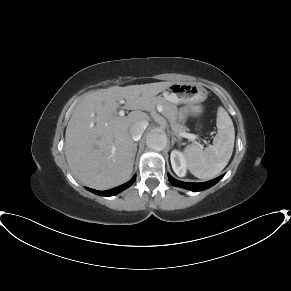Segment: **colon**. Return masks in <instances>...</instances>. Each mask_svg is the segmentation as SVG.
I'll return each mask as SVG.
<instances>
[{
	"mask_svg": "<svg viewBox=\"0 0 291 291\" xmlns=\"http://www.w3.org/2000/svg\"><path fill=\"white\" fill-rule=\"evenodd\" d=\"M198 130H199V131L202 130V125H201V124L198 125Z\"/></svg>",
	"mask_w": 291,
	"mask_h": 291,
	"instance_id": "colon-1",
	"label": "colon"
}]
</instances>
